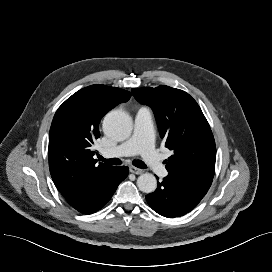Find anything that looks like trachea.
<instances>
[{"mask_svg": "<svg viewBox=\"0 0 272 272\" xmlns=\"http://www.w3.org/2000/svg\"><path fill=\"white\" fill-rule=\"evenodd\" d=\"M99 159H100V161L110 164V165H121L122 164V161L118 158L105 159L102 156H100ZM132 163L134 166H136L138 168H141V169L147 168L146 164L141 160H134Z\"/></svg>", "mask_w": 272, "mask_h": 272, "instance_id": "obj_1", "label": "trachea"}]
</instances>
